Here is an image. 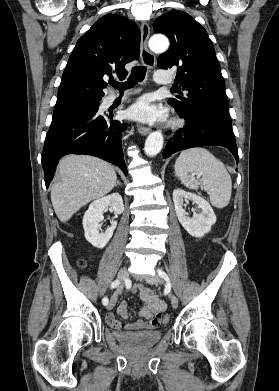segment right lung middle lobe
<instances>
[{
  "instance_id": "dd1d6c3e",
  "label": "right lung middle lobe",
  "mask_w": 279,
  "mask_h": 391,
  "mask_svg": "<svg viewBox=\"0 0 279 391\" xmlns=\"http://www.w3.org/2000/svg\"><path fill=\"white\" fill-rule=\"evenodd\" d=\"M99 104V102H88V103H82V104H78V105H75V106H83V105H97ZM73 107V106H71Z\"/></svg>"
}]
</instances>
